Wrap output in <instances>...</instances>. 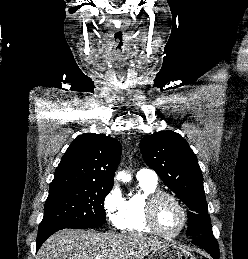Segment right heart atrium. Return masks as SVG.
I'll use <instances>...</instances> for the list:
<instances>
[{
  "label": "right heart atrium",
  "instance_id": "obj_1",
  "mask_svg": "<svg viewBox=\"0 0 248 259\" xmlns=\"http://www.w3.org/2000/svg\"><path fill=\"white\" fill-rule=\"evenodd\" d=\"M125 204L120 187L114 184L104 198L103 207L110 224L115 228L122 227Z\"/></svg>",
  "mask_w": 248,
  "mask_h": 259
}]
</instances>
